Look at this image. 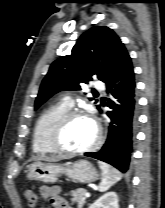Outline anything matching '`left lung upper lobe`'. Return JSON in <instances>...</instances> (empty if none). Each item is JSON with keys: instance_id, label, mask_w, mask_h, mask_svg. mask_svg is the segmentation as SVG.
Segmentation results:
<instances>
[{"instance_id": "5c2ea615", "label": "left lung upper lobe", "mask_w": 165, "mask_h": 208, "mask_svg": "<svg viewBox=\"0 0 165 208\" xmlns=\"http://www.w3.org/2000/svg\"><path fill=\"white\" fill-rule=\"evenodd\" d=\"M127 55L124 44L112 29L92 27L81 35L70 55L51 64L41 83L35 109L59 91L79 90L80 83H88L93 76L106 82Z\"/></svg>"}]
</instances>
